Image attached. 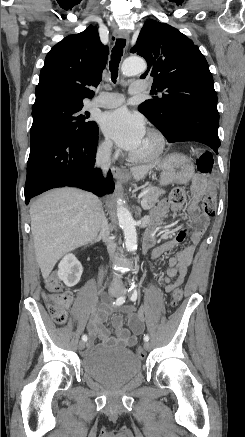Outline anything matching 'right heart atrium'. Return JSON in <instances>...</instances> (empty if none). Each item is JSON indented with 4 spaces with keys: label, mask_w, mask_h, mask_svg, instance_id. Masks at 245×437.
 Segmentation results:
<instances>
[{
    "label": "right heart atrium",
    "mask_w": 245,
    "mask_h": 437,
    "mask_svg": "<svg viewBox=\"0 0 245 437\" xmlns=\"http://www.w3.org/2000/svg\"><path fill=\"white\" fill-rule=\"evenodd\" d=\"M96 157L99 163L108 164L114 157L112 143L108 139H101L96 146Z\"/></svg>",
    "instance_id": "1"
}]
</instances>
